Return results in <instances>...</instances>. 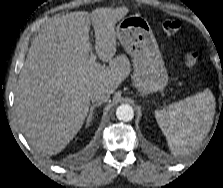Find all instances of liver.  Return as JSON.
<instances>
[{"mask_svg": "<svg viewBox=\"0 0 223 188\" xmlns=\"http://www.w3.org/2000/svg\"><path fill=\"white\" fill-rule=\"evenodd\" d=\"M128 8H97L71 12L48 21L33 39L16 86L20 129L38 151L61 152L81 129L90 93L104 87L113 93L129 73L116 54L115 24ZM96 52L108 67L90 63V25Z\"/></svg>", "mask_w": 223, "mask_h": 188, "instance_id": "obj_1", "label": "liver"}]
</instances>
